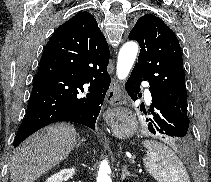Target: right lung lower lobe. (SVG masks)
<instances>
[{
	"mask_svg": "<svg viewBox=\"0 0 211 182\" xmlns=\"http://www.w3.org/2000/svg\"><path fill=\"white\" fill-rule=\"evenodd\" d=\"M109 57V49L103 45L77 44L65 28L56 30L43 51L14 147L40 128L58 121L95 129L110 86ZM84 84H88V89L80 97Z\"/></svg>",
	"mask_w": 211,
	"mask_h": 182,
	"instance_id": "obj_1",
	"label": "right lung lower lobe"
}]
</instances>
